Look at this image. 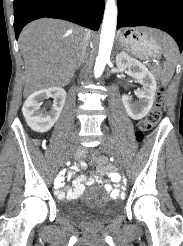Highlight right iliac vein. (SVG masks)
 <instances>
[{
    "label": "right iliac vein",
    "mask_w": 183,
    "mask_h": 246,
    "mask_svg": "<svg viewBox=\"0 0 183 246\" xmlns=\"http://www.w3.org/2000/svg\"><path fill=\"white\" fill-rule=\"evenodd\" d=\"M77 136H78V130L76 129L72 133V136L70 138V143H69V149H70V151L73 150V148L75 147ZM67 157H68V153H67L66 159H67Z\"/></svg>",
    "instance_id": "right-iliac-vein-1"
}]
</instances>
